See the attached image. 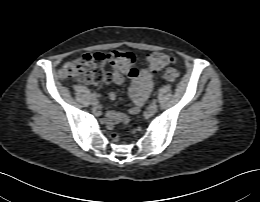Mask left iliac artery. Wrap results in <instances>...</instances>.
Instances as JSON below:
<instances>
[{
    "instance_id": "left-iliac-artery-1",
    "label": "left iliac artery",
    "mask_w": 260,
    "mask_h": 202,
    "mask_svg": "<svg viewBox=\"0 0 260 202\" xmlns=\"http://www.w3.org/2000/svg\"><path fill=\"white\" fill-rule=\"evenodd\" d=\"M156 102H157V100H156V99H153V100H152V103H154V104H155Z\"/></svg>"
}]
</instances>
